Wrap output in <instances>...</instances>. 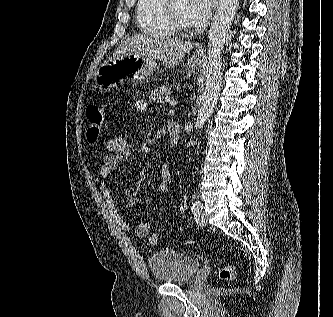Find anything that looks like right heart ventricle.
Here are the masks:
<instances>
[{"mask_svg":"<svg viewBox=\"0 0 333 317\" xmlns=\"http://www.w3.org/2000/svg\"><path fill=\"white\" fill-rule=\"evenodd\" d=\"M161 0H138L136 6V23L145 35L170 38L175 32L165 23L161 14Z\"/></svg>","mask_w":333,"mask_h":317,"instance_id":"obj_1","label":"right heart ventricle"}]
</instances>
